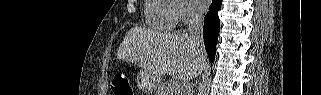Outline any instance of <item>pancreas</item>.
<instances>
[{"instance_id":"1","label":"pancreas","mask_w":321,"mask_h":95,"mask_svg":"<svg viewBox=\"0 0 321 95\" xmlns=\"http://www.w3.org/2000/svg\"><path fill=\"white\" fill-rule=\"evenodd\" d=\"M179 88H172L170 82L161 83L158 86L157 95H178Z\"/></svg>"}]
</instances>
